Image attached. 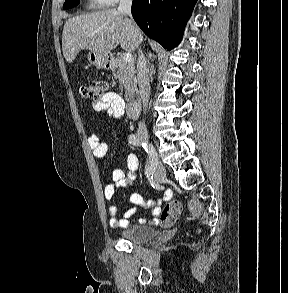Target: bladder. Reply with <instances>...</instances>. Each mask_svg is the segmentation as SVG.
I'll use <instances>...</instances> for the list:
<instances>
[{
	"instance_id": "obj_1",
	"label": "bladder",
	"mask_w": 288,
	"mask_h": 293,
	"mask_svg": "<svg viewBox=\"0 0 288 293\" xmlns=\"http://www.w3.org/2000/svg\"><path fill=\"white\" fill-rule=\"evenodd\" d=\"M155 235V229L147 225H135L119 233L122 239L131 243H144L153 239Z\"/></svg>"
}]
</instances>
